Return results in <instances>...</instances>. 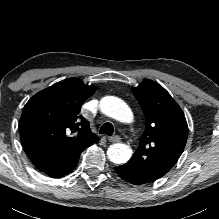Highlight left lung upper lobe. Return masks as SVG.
Here are the masks:
<instances>
[{
	"instance_id": "1",
	"label": "left lung upper lobe",
	"mask_w": 219,
	"mask_h": 219,
	"mask_svg": "<svg viewBox=\"0 0 219 219\" xmlns=\"http://www.w3.org/2000/svg\"><path fill=\"white\" fill-rule=\"evenodd\" d=\"M146 117L139 148L126 163L153 177H162L178 161L188 136L183 112L158 83L145 79L132 88Z\"/></svg>"
}]
</instances>
